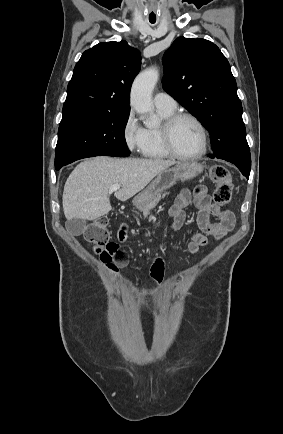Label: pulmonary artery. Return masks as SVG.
<instances>
[{
    "label": "pulmonary artery",
    "mask_w": 283,
    "mask_h": 434,
    "mask_svg": "<svg viewBox=\"0 0 283 434\" xmlns=\"http://www.w3.org/2000/svg\"><path fill=\"white\" fill-rule=\"evenodd\" d=\"M154 104L157 109L172 111L177 107L176 101L167 93L159 92L154 96Z\"/></svg>",
    "instance_id": "e3ab8cb5"
}]
</instances>
